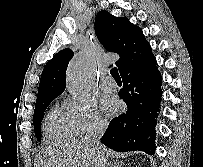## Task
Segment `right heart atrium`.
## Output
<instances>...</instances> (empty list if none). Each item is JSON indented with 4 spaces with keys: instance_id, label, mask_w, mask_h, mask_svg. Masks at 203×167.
I'll return each instance as SVG.
<instances>
[{
    "instance_id": "obj_1",
    "label": "right heart atrium",
    "mask_w": 203,
    "mask_h": 167,
    "mask_svg": "<svg viewBox=\"0 0 203 167\" xmlns=\"http://www.w3.org/2000/svg\"><path fill=\"white\" fill-rule=\"evenodd\" d=\"M63 112L75 136L103 130L107 126L106 119L97 111L92 101L67 98L63 103Z\"/></svg>"
}]
</instances>
